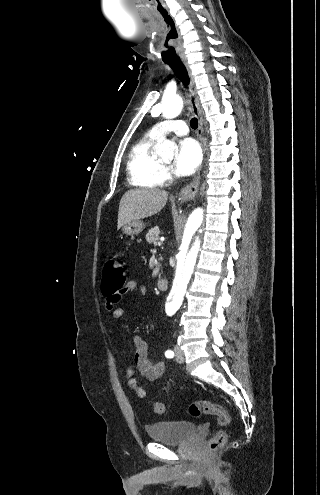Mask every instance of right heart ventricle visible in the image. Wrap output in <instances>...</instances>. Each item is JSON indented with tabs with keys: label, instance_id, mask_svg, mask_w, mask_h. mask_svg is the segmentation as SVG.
Returning <instances> with one entry per match:
<instances>
[{
	"label": "right heart ventricle",
	"instance_id": "obj_1",
	"mask_svg": "<svg viewBox=\"0 0 320 495\" xmlns=\"http://www.w3.org/2000/svg\"><path fill=\"white\" fill-rule=\"evenodd\" d=\"M157 140V137L147 133L131 147L127 172L129 181L134 186L155 188L162 183L160 178L162 165L153 152Z\"/></svg>",
	"mask_w": 320,
	"mask_h": 495
}]
</instances>
